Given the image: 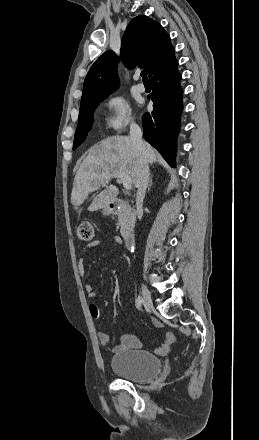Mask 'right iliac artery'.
Here are the masks:
<instances>
[{
  "mask_svg": "<svg viewBox=\"0 0 259 440\" xmlns=\"http://www.w3.org/2000/svg\"><path fill=\"white\" fill-rule=\"evenodd\" d=\"M143 299L141 296H138L136 299V307L139 309L142 305Z\"/></svg>",
  "mask_w": 259,
  "mask_h": 440,
  "instance_id": "1",
  "label": "right iliac artery"
}]
</instances>
